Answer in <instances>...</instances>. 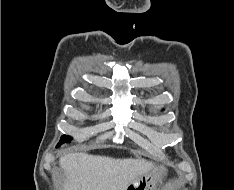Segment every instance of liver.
Listing matches in <instances>:
<instances>
[{
	"mask_svg": "<svg viewBox=\"0 0 234 190\" xmlns=\"http://www.w3.org/2000/svg\"><path fill=\"white\" fill-rule=\"evenodd\" d=\"M67 179L63 190H126L136 178L147 173L152 162L138 158L71 153L60 158Z\"/></svg>",
	"mask_w": 234,
	"mask_h": 190,
	"instance_id": "1",
	"label": "liver"
}]
</instances>
